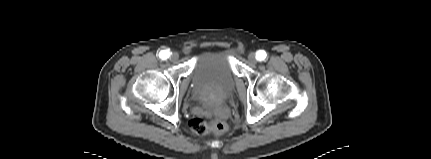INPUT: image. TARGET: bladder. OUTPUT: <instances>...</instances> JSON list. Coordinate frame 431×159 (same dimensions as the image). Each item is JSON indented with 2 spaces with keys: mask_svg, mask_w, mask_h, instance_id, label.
Listing matches in <instances>:
<instances>
[{
  "mask_svg": "<svg viewBox=\"0 0 431 159\" xmlns=\"http://www.w3.org/2000/svg\"><path fill=\"white\" fill-rule=\"evenodd\" d=\"M233 48H222L200 54L190 74L196 99L208 98L214 103L229 99L235 91Z\"/></svg>",
  "mask_w": 431,
  "mask_h": 159,
  "instance_id": "1",
  "label": "bladder"
}]
</instances>
